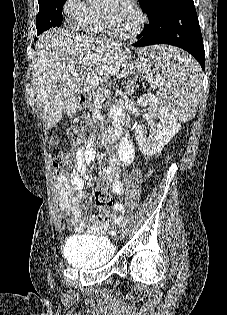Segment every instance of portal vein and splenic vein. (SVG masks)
Masks as SVG:
<instances>
[{
  "label": "portal vein and splenic vein",
  "mask_w": 227,
  "mask_h": 315,
  "mask_svg": "<svg viewBox=\"0 0 227 315\" xmlns=\"http://www.w3.org/2000/svg\"><path fill=\"white\" fill-rule=\"evenodd\" d=\"M135 66H141V65H135ZM143 68H144V65H142ZM133 68V67H132ZM147 69V68H145ZM129 71H122V73H120L118 76H117V79H121L122 77L125 76V74H127ZM146 77L148 78V81L152 84V85H158L159 84V79H153V76H152V73L150 72L149 69H147V72H146ZM87 83L90 84V85H96L97 84V81L96 79H94V77H88L87 78ZM108 94V90H104V92H101V93H98L97 94V97L98 98H103Z\"/></svg>",
  "instance_id": "1"
}]
</instances>
